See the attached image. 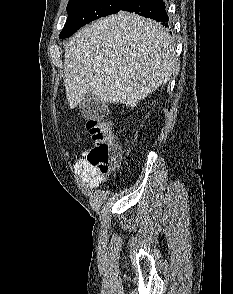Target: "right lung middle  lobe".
Instances as JSON below:
<instances>
[{
	"instance_id": "obj_1",
	"label": "right lung middle lobe",
	"mask_w": 233,
	"mask_h": 294,
	"mask_svg": "<svg viewBox=\"0 0 233 294\" xmlns=\"http://www.w3.org/2000/svg\"><path fill=\"white\" fill-rule=\"evenodd\" d=\"M127 0H69L67 21L60 38L74 34L79 28L98 18L119 12Z\"/></svg>"
}]
</instances>
